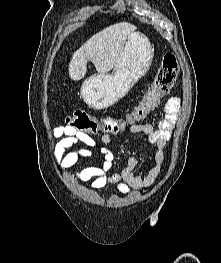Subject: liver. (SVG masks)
<instances>
[{"label":"liver","instance_id":"1","mask_svg":"<svg viewBox=\"0 0 221 263\" xmlns=\"http://www.w3.org/2000/svg\"><path fill=\"white\" fill-rule=\"evenodd\" d=\"M136 27L127 22L116 23L94 34L74 52L69 63V76L81 80L91 61L99 73H107L114 66L127 37Z\"/></svg>","mask_w":221,"mask_h":263}]
</instances>
